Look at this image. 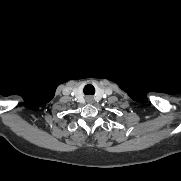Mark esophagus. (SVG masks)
<instances>
[{
    "instance_id": "34e87169",
    "label": "esophagus",
    "mask_w": 181,
    "mask_h": 181,
    "mask_svg": "<svg viewBox=\"0 0 181 181\" xmlns=\"http://www.w3.org/2000/svg\"><path fill=\"white\" fill-rule=\"evenodd\" d=\"M86 99H87L88 103H92L93 102V97H91V96H88Z\"/></svg>"
}]
</instances>
